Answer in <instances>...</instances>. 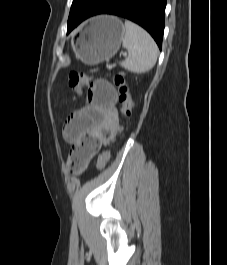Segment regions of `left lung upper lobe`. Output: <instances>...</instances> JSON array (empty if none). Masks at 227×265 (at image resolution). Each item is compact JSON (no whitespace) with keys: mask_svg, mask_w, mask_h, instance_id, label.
Returning a JSON list of instances; mask_svg holds the SVG:
<instances>
[{"mask_svg":"<svg viewBox=\"0 0 227 265\" xmlns=\"http://www.w3.org/2000/svg\"><path fill=\"white\" fill-rule=\"evenodd\" d=\"M105 0H73L68 29L75 23L88 18Z\"/></svg>","mask_w":227,"mask_h":265,"instance_id":"left-lung-upper-lobe-1","label":"left lung upper lobe"}]
</instances>
